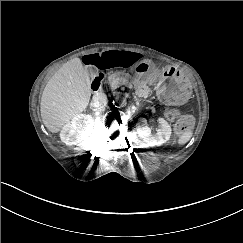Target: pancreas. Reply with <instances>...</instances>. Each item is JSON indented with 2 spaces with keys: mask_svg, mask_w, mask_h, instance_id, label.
<instances>
[{
  "mask_svg": "<svg viewBox=\"0 0 243 243\" xmlns=\"http://www.w3.org/2000/svg\"><path fill=\"white\" fill-rule=\"evenodd\" d=\"M108 81L109 83L112 85L114 84L115 87H119L120 85L123 84V77H121V75L119 73H114L108 76ZM115 89V88H113ZM134 89H135V94L138 97H142V98H147L149 96V94L151 93V89L146 85V84H142V82H136L134 83Z\"/></svg>",
  "mask_w": 243,
  "mask_h": 243,
  "instance_id": "1",
  "label": "pancreas"
}]
</instances>
